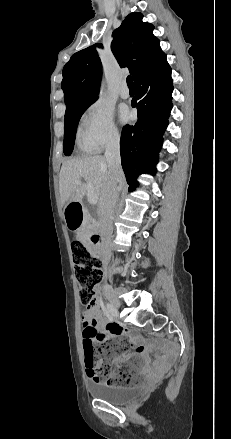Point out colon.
Listing matches in <instances>:
<instances>
[{
    "label": "colon",
    "instance_id": "1",
    "mask_svg": "<svg viewBox=\"0 0 231 439\" xmlns=\"http://www.w3.org/2000/svg\"><path fill=\"white\" fill-rule=\"evenodd\" d=\"M71 250L80 300L89 308L93 304L94 289L101 281L102 264L78 239L72 241ZM126 348L127 342L122 338L108 339L100 347L87 343L84 346V360L88 375L96 381L106 379L108 385L135 384L137 379L131 377L130 371L121 366L114 374H110L109 362L117 359Z\"/></svg>",
    "mask_w": 231,
    "mask_h": 439
}]
</instances>
